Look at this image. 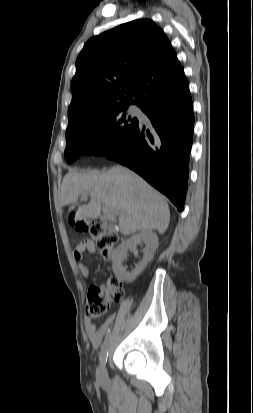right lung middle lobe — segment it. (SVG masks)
Segmentation results:
<instances>
[{
	"instance_id": "right-lung-middle-lobe-1",
	"label": "right lung middle lobe",
	"mask_w": 253,
	"mask_h": 413,
	"mask_svg": "<svg viewBox=\"0 0 253 413\" xmlns=\"http://www.w3.org/2000/svg\"><path fill=\"white\" fill-rule=\"evenodd\" d=\"M129 105L103 108L69 121L64 156L72 163L81 155H104L119 144L139 121L123 111Z\"/></svg>"
}]
</instances>
